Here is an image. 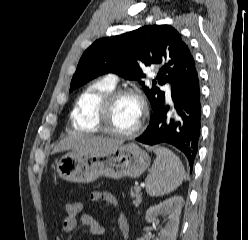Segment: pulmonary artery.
<instances>
[{"instance_id":"obj_1","label":"pulmonary artery","mask_w":248,"mask_h":240,"mask_svg":"<svg viewBox=\"0 0 248 240\" xmlns=\"http://www.w3.org/2000/svg\"><path fill=\"white\" fill-rule=\"evenodd\" d=\"M109 82L113 83V84H116L117 83V79L114 77V76H110L108 78ZM165 91L167 93V96L169 97L170 96V88L168 86H166L165 88Z\"/></svg>"}]
</instances>
